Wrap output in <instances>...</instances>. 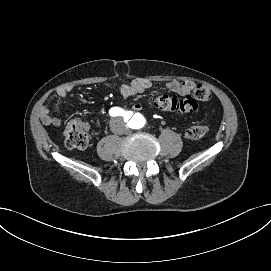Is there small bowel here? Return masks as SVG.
Here are the masks:
<instances>
[{
	"label": "small bowel",
	"instance_id": "small-bowel-1",
	"mask_svg": "<svg viewBox=\"0 0 271 271\" xmlns=\"http://www.w3.org/2000/svg\"><path fill=\"white\" fill-rule=\"evenodd\" d=\"M152 86V82L145 79H135L129 83H125L121 86L120 91L124 98H130L135 95L141 94ZM166 88L178 95L185 96L191 94L195 88L196 84L192 81L179 82L176 80H171L166 83ZM71 87H61L57 90V94L60 98L69 100L71 93ZM133 109L138 111L141 109V105L136 103L133 105ZM40 120L45 125H55L59 126L61 120L51 114L50 108L44 106L41 108L39 113Z\"/></svg>",
	"mask_w": 271,
	"mask_h": 271
}]
</instances>
